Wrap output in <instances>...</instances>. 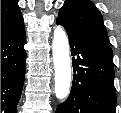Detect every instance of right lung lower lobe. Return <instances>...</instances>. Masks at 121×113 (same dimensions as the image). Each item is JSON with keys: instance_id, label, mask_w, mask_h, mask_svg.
I'll list each match as a JSON object with an SVG mask.
<instances>
[{"instance_id": "98d812e1", "label": "right lung lower lobe", "mask_w": 121, "mask_h": 113, "mask_svg": "<svg viewBox=\"0 0 121 113\" xmlns=\"http://www.w3.org/2000/svg\"><path fill=\"white\" fill-rule=\"evenodd\" d=\"M25 28L1 38V113H17L26 68Z\"/></svg>"}]
</instances>
